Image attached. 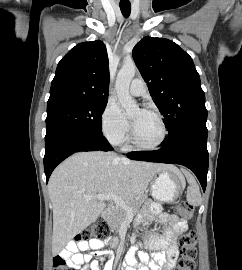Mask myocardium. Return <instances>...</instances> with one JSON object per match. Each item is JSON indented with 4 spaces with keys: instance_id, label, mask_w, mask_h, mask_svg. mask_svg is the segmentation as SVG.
<instances>
[{
    "instance_id": "f54148a6",
    "label": "myocardium",
    "mask_w": 242,
    "mask_h": 270,
    "mask_svg": "<svg viewBox=\"0 0 242 270\" xmlns=\"http://www.w3.org/2000/svg\"><path fill=\"white\" fill-rule=\"evenodd\" d=\"M145 111L153 114L158 119L160 126H161V136H160L159 140L153 144H142L136 139L135 131H134V128L132 125L131 126V142H132L133 147H135L139 150H145V151L155 150V149L160 148L165 143V141L167 139V136H168L167 125H166V122H165L162 114L159 111H157L155 109H146Z\"/></svg>"
}]
</instances>
